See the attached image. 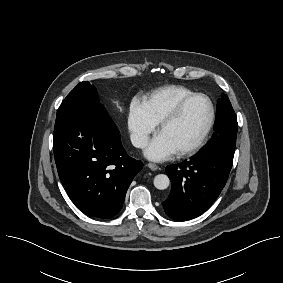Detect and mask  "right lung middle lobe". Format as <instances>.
Masks as SVG:
<instances>
[{"instance_id":"1","label":"right lung middle lobe","mask_w":283,"mask_h":283,"mask_svg":"<svg viewBox=\"0 0 283 283\" xmlns=\"http://www.w3.org/2000/svg\"><path fill=\"white\" fill-rule=\"evenodd\" d=\"M101 105L98 102V95L96 88L88 81L80 82L65 98L59 110L56 118L70 113L79 108Z\"/></svg>"}]
</instances>
